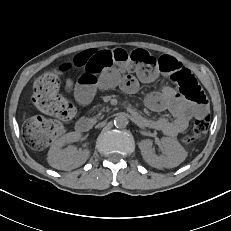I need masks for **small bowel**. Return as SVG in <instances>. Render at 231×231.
<instances>
[{"label":"small bowel","mask_w":231,"mask_h":231,"mask_svg":"<svg viewBox=\"0 0 231 231\" xmlns=\"http://www.w3.org/2000/svg\"><path fill=\"white\" fill-rule=\"evenodd\" d=\"M129 54L130 52L119 48L86 50L65 62L62 65L65 70L80 68L83 71L76 83L69 84L76 100L80 104H87L97 89L108 90L117 86L125 92L133 93L137 90L139 82H152L159 75L172 78L180 71L192 75L188 68L173 57L163 56L156 59L145 50H141L138 59L131 60ZM200 91L202 92L201 88ZM146 104L154 111L168 110L173 119H147L138 114L136 118L144 125L169 136L183 132L193 119L202 118L207 114L206 103L190 99L171 87H165L161 92L150 93L146 97Z\"/></svg>","instance_id":"obj_1"}]
</instances>
